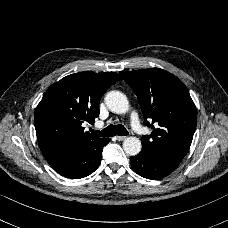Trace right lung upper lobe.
I'll list each match as a JSON object with an SVG mask.
<instances>
[{"mask_svg":"<svg viewBox=\"0 0 228 228\" xmlns=\"http://www.w3.org/2000/svg\"><path fill=\"white\" fill-rule=\"evenodd\" d=\"M122 78L114 72H80L54 83L35 110L34 123L40 150L47 160L76 150L97 138L84 132V121L93 124L99 101Z\"/></svg>","mask_w":228,"mask_h":228,"instance_id":"1","label":"right lung upper lobe"}]
</instances>
